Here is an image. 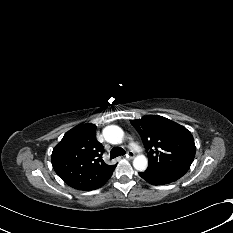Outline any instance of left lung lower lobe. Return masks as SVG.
<instances>
[{
	"label": "left lung lower lobe",
	"mask_w": 233,
	"mask_h": 233,
	"mask_svg": "<svg viewBox=\"0 0 233 233\" xmlns=\"http://www.w3.org/2000/svg\"><path fill=\"white\" fill-rule=\"evenodd\" d=\"M139 175L146 180L148 183L152 184V185H165V184H169L172 181H169L149 170H146L144 172H140Z\"/></svg>",
	"instance_id": "0a47b994"
}]
</instances>
